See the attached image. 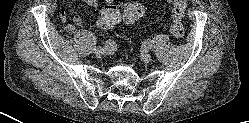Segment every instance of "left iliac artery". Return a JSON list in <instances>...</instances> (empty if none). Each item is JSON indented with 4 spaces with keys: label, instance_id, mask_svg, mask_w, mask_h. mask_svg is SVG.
<instances>
[{
    "label": "left iliac artery",
    "instance_id": "1",
    "mask_svg": "<svg viewBox=\"0 0 249 123\" xmlns=\"http://www.w3.org/2000/svg\"><path fill=\"white\" fill-rule=\"evenodd\" d=\"M144 47L147 49H152V43L150 41H145L144 42Z\"/></svg>",
    "mask_w": 249,
    "mask_h": 123
}]
</instances>
